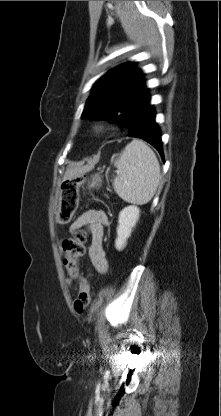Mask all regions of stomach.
I'll return each mask as SVG.
<instances>
[{
  "instance_id": "1",
  "label": "stomach",
  "mask_w": 221,
  "mask_h": 416,
  "mask_svg": "<svg viewBox=\"0 0 221 416\" xmlns=\"http://www.w3.org/2000/svg\"><path fill=\"white\" fill-rule=\"evenodd\" d=\"M101 182H102V179H101L100 175L99 174H96L92 178V182H91L90 187H100Z\"/></svg>"
}]
</instances>
